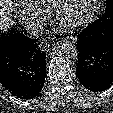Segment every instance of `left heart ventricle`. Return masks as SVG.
<instances>
[{
  "instance_id": "obj_1",
  "label": "left heart ventricle",
  "mask_w": 113,
  "mask_h": 113,
  "mask_svg": "<svg viewBox=\"0 0 113 113\" xmlns=\"http://www.w3.org/2000/svg\"><path fill=\"white\" fill-rule=\"evenodd\" d=\"M85 0H68L63 9V18L65 20L75 18Z\"/></svg>"
}]
</instances>
